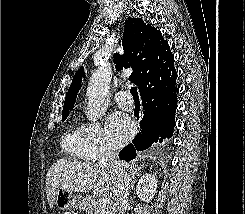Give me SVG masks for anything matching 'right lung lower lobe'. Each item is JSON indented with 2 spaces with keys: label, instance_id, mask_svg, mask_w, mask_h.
<instances>
[{
  "label": "right lung lower lobe",
  "instance_id": "right-lung-lower-lobe-1",
  "mask_svg": "<svg viewBox=\"0 0 245 214\" xmlns=\"http://www.w3.org/2000/svg\"><path fill=\"white\" fill-rule=\"evenodd\" d=\"M176 78L172 57L143 80L139 89L144 109L141 132L120 151V159L132 160L136 157V151L148 149L158 141L161 143L163 138L172 136L177 108Z\"/></svg>",
  "mask_w": 245,
  "mask_h": 214
}]
</instances>
